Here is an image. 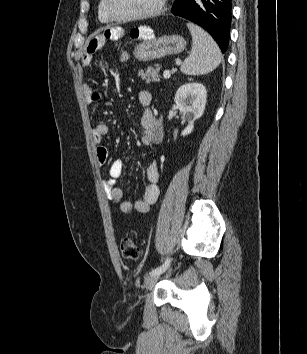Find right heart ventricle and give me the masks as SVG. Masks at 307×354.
Returning <instances> with one entry per match:
<instances>
[{
    "label": "right heart ventricle",
    "mask_w": 307,
    "mask_h": 354,
    "mask_svg": "<svg viewBox=\"0 0 307 354\" xmlns=\"http://www.w3.org/2000/svg\"><path fill=\"white\" fill-rule=\"evenodd\" d=\"M98 18H99V20L101 22H105V23L111 21V18L109 17V15L106 12L104 0H99V3H98Z\"/></svg>",
    "instance_id": "1"
}]
</instances>
